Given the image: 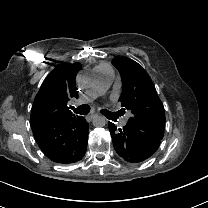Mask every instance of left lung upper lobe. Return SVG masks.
<instances>
[{
    "mask_svg": "<svg viewBox=\"0 0 208 208\" xmlns=\"http://www.w3.org/2000/svg\"><path fill=\"white\" fill-rule=\"evenodd\" d=\"M123 80L119 101L122 110L131 112L128 123L141 132L162 140L165 113L151 78L144 68L132 59L118 57L112 60Z\"/></svg>",
    "mask_w": 208,
    "mask_h": 208,
    "instance_id": "5c2ea615",
    "label": "left lung upper lobe"
}]
</instances>
